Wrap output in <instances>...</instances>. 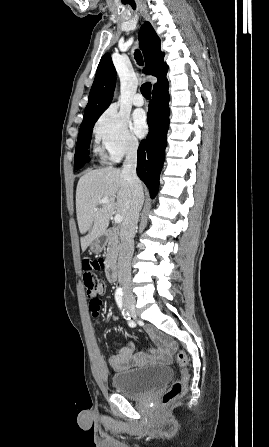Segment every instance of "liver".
<instances>
[{"mask_svg":"<svg viewBox=\"0 0 269 447\" xmlns=\"http://www.w3.org/2000/svg\"><path fill=\"white\" fill-rule=\"evenodd\" d=\"M102 198H109L108 204H99ZM132 194L130 186L117 168H101V170H88L81 176L76 190V214L81 233L82 251L88 245L102 237L109 225V218L114 214L122 216L123 220L130 210ZM98 208L94 212V208Z\"/></svg>","mask_w":269,"mask_h":447,"instance_id":"obj_1","label":"liver"}]
</instances>
